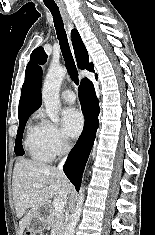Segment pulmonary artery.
Listing matches in <instances>:
<instances>
[{
    "label": "pulmonary artery",
    "mask_w": 155,
    "mask_h": 235,
    "mask_svg": "<svg viewBox=\"0 0 155 235\" xmlns=\"http://www.w3.org/2000/svg\"><path fill=\"white\" fill-rule=\"evenodd\" d=\"M61 97L64 101H66L68 103H73L76 100V96H75L74 92L70 89L64 90L61 93Z\"/></svg>",
    "instance_id": "pulmonary-artery-1"
}]
</instances>
